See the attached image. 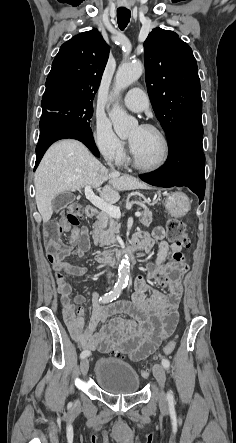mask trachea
I'll return each mask as SVG.
<instances>
[{
	"mask_svg": "<svg viewBox=\"0 0 236 443\" xmlns=\"http://www.w3.org/2000/svg\"><path fill=\"white\" fill-rule=\"evenodd\" d=\"M130 17H131L130 10L125 8L117 9V22L121 30H124L125 27L128 25Z\"/></svg>",
	"mask_w": 236,
	"mask_h": 443,
	"instance_id": "trachea-1",
	"label": "trachea"
}]
</instances>
